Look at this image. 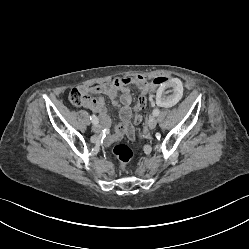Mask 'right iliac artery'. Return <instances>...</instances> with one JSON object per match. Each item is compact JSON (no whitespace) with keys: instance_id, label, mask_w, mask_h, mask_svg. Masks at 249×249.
<instances>
[{"instance_id":"right-iliac-artery-1","label":"right iliac artery","mask_w":249,"mask_h":249,"mask_svg":"<svg viewBox=\"0 0 249 249\" xmlns=\"http://www.w3.org/2000/svg\"><path fill=\"white\" fill-rule=\"evenodd\" d=\"M90 119H91V121H92L93 124H98V118H97V116L91 115Z\"/></svg>"}]
</instances>
